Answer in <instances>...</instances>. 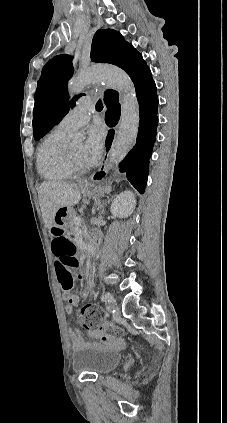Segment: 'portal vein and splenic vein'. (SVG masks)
<instances>
[{
    "instance_id": "18ae733b",
    "label": "portal vein and splenic vein",
    "mask_w": 227,
    "mask_h": 423,
    "mask_svg": "<svg viewBox=\"0 0 227 423\" xmlns=\"http://www.w3.org/2000/svg\"><path fill=\"white\" fill-rule=\"evenodd\" d=\"M74 221H76V223H80V221H82V217H74Z\"/></svg>"
}]
</instances>
